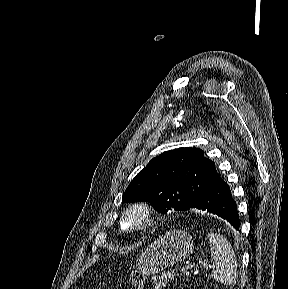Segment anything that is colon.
Wrapping results in <instances>:
<instances>
[{"label":"colon","mask_w":288,"mask_h":289,"mask_svg":"<svg viewBox=\"0 0 288 289\" xmlns=\"http://www.w3.org/2000/svg\"><path fill=\"white\" fill-rule=\"evenodd\" d=\"M130 283L132 286L140 289L144 285V274L141 271H135L131 274Z\"/></svg>","instance_id":"5ec220e1"}]
</instances>
